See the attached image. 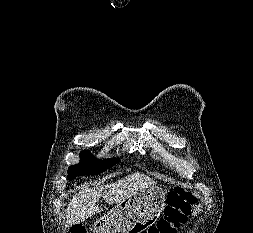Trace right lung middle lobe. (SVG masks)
Masks as SVG:
<instances>
[{"label":"right lung middle lobe","instance_id":"dd1d6c3e","mask_svg":"<svg viewBox=\"0 0 253 233\" xmlns=\"http://www.w3.org/2000/svg\"><path fill=\"white\" fill-rule=\"evenodd\" d=\"M80 157V163L72 165L68 169L69 180H72L77 176L101 173L119 161V159L99 161L96 160L88 151L81 152Z\"/></svg>","mask_w":253,"mask_h":233}]
</instances>
